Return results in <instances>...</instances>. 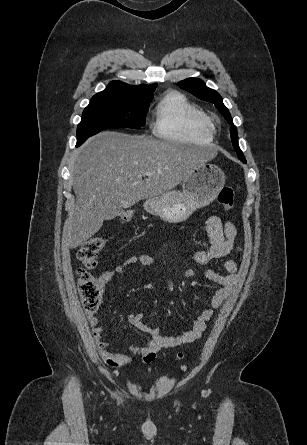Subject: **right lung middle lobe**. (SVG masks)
<instances>
[{
  "instance_id": "dd1d6c3e",
  "label": "right lung middle lobe",
  "mask_w": 307,
  "mask_h": 445,
  "mask_svg": "<svg viewBox=\"0 0 307 445\" xmlns=\"http://www.w3.org/2000/svg\"><path fill=\"white\" fill-rule=\"evenodd\" d=\"M151 100L113 95L93 96L83 111L77 128V140L84 142L107 128L137 129L144 126Z\"/></svg>"
}]
</instances>
